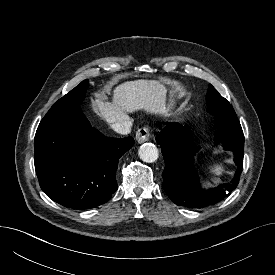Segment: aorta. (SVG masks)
<instances>
[{"label":"aorta","instance_id":"aorta-1","mask_svg":"<svg viewBox=\"0 0 275 275\" xmlns=\"http://www.w3.org/2000/svg\"><path fill=\"white\" fill-rule=\"evenodd\" d=\"M139 157L146 163H153L158 159V149L152 143H144L139 148Z\"/></svg>","mask_w":275,"mask_h":275}]
</instances>
